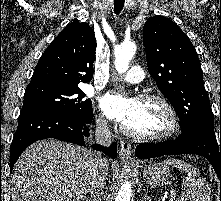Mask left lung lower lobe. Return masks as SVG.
I'll return each mask as SVG.
<instances>
[{
	"label": "left lung lower lobe",
	"instance_id": "obj_1",
	"mask_svg": "<svg viewBox=\"0 0 221 201\" xmlns=\"http://www.w3.org/2000/svg\"><path fill=\"white\" fill-rule=\"evenodd\" d=\"M197 154L212 164L221 180V141L217 142L214 130L205 126H192L172 141L159 143H139L135 155L149 159L163 155Z\"/></svg>",
	"mask_w": 221,
	"mask_h": 201
}]
</instances>
